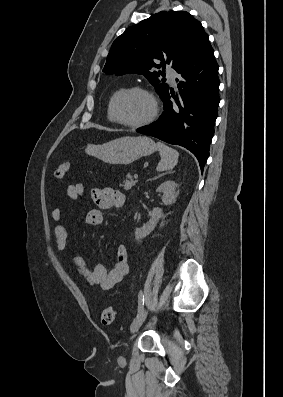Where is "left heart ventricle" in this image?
Wrapping results in <instances>:
<instances>
[{
  "label": "left heart ventricle",
  "mask_w": 283,
  "mask_h": 397,
  "mask_svg": "<svg viewBox=\"0 0 283 397\" xmlns=\"http://www.w3.org/2000/svg\"><path fill=\"white\" fill-rule=\"evenodd\" d=\"M118 111L126 122H140L151 114L152 102L145 94L131 93L120 100Z\"/></svg>",
  "instance_id": "b2bd125f"
}]
</instances>
